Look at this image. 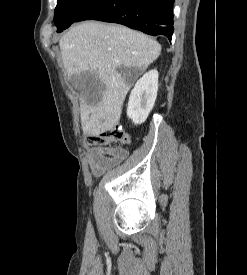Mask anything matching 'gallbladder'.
<instances>
[{
  "mask_svg": "<svg viewBox=\"0 0 247 275\" xmlns=\"http://www.w3.org/2000/svg\"><path fill=\"white\" fill-rule=\"evenodd\" d=\"M70 83L87 100L104 89V85L97 76L85 72L72 76Z\"/></svg>",
  "mask_w": 247,
  "mask_h": 275,
  "instance_id": "bac80fb5",
  "label": "gallbladder"
}]
</instances>
